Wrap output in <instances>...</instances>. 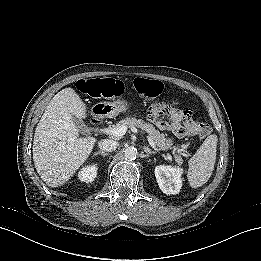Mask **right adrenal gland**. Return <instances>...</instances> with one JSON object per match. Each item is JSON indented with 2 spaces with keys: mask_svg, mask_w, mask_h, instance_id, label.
I'll list each match as a JSON object with an SVG mask.
<instances>
[{
  "mask_svg": "<svg viewBox=\"0 0 261 261\" xmlns=\"http://www.w3.org/2000/svg\"><path fill=\"white\" fill-rule=\"evenodd\" d=\"M98 154H100V155H102V156H105V155H106V153H104L103 151L96 152L94 155H98Z\"/></svg>",
  "mask_w": 261,
  "mask_h": 261,
  "instance_id": "1",
  "label": "right adrenal gland"
}]
</instances>
